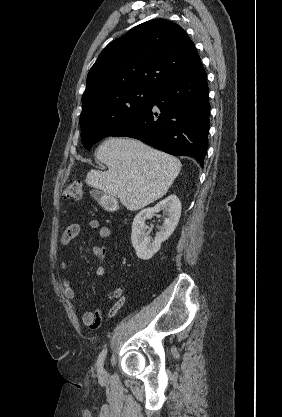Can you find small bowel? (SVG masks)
Instances as JSON below:
<instances>
[{
  "label": "small bowel",
  "instance_id": "obj_1",
  "mask_svg": "<svg viewBox=\"0 0 282 417\" xmlns=\"http://www.w3.org/2000/svg\"><path fill=\"white\" fill-rule=\"evenodd\" d=\"M89 227L93 230H97L99 237L102 239H108L111 236V229L108 226H100L99 222L95 219L90 220ZM81 226L79 223L74 222L67 226L64 232L61 235V245L67 246L71 243V241L80 233ZM60 267L63 271L67 270V262L66 260H62L60 263ZM96 277L100 280L107 279V271L104 267H98L96 269ZM63 293L66 298L70 300H74L76 298V293L71 286L70 281L65 277L63 278ZM106 298L109 300H115V303L109 309V317L113 318L117 315L118 311L123 307L126 303V297L124 296V289L121 286H117L110 290ZM100 311H87L83 315V322L86 326H88L91 330H97L100 327V320L97 318L96 313Z\"/></svg>",
  "mask_w": 282,
  "mask_h": 417
}]
</instances>
